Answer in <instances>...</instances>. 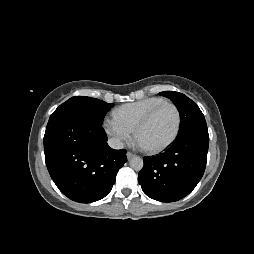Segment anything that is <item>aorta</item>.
<instances>
[{
  "label": "aorta",
  "instance_id": "obj_1",
  "mask_svg": "<svg viewBox=\"0 0 254 254\" xmlns=\"http://www.w3.org/2000/svg\"><path fill=\"white\" fill-rule=\"evenodd\" d=\"M130 167L136 171H140L143 168L144 162L143 159L139 156L131 158Z\"/></svg>",
  "mask_w": 254,
  "mask_h": 254
}]
</instances>
